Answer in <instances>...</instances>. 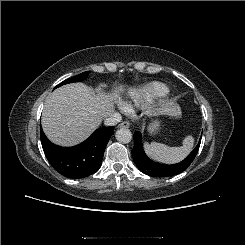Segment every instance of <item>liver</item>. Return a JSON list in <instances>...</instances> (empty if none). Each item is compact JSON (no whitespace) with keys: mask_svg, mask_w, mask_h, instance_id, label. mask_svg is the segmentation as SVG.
I'll list each match as a JSON object with an SVG mask.
<instances>
[{"mask_svg":"<svg viewBox=\"0 0 245 245\" xmlns=\"http://www.w3.org/2000/svg\"><path fill=\"white\" fill-rule=\"evenodd\" d=\"M122 86L112 93H97L83 83L64 85L52 92L42 113L45 135L55 144L70 147L86 140L113 113L121 100ZM179 109L171 108V111ZM168 111L167 109H165Z\"/></svg>","mask_w":245,"mask_h":245,"instance_id":"1","label":"liver"}]
</instances>
